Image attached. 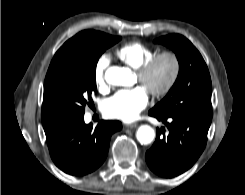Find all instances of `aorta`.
I'll list each match as a JSON object with an SVG mask.
<instances>
[{
	"label": "aorta",
	"instance_id": "obj_1",
	"mask_svg": "<svg viewBox=\"0 0 245 195\" xmlns=\"http://www.w3.org/2000/svg\"><path fill=\"white\" fill-rule=\"evenodd\" d=\"M131 72L123 67L112 66L105 72V80L114 86H130ZM137 140L144 145L150 144L155 138L154 129L149 125H141L136 133Z\"/></svg>",
	"mask_w": 245,
	"mask_h": 195
}]
</instances>
